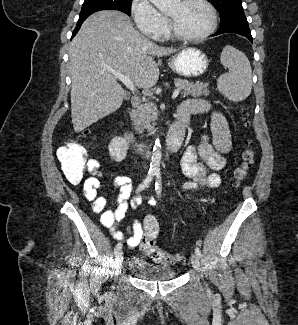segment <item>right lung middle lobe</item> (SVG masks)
Segmentation results:
<instances>
[{
	"label": "right lung middle lobe",
	"mask_w": 298,
	"mask_h": 325,
	"mask_svg": "<svg viewBox=\"0 0 298 325\" xmlns=\"http://www.w3.org/2000/svg\"><path fill=\"white\" fill-rule=\"evenodd\" d=\"M132 0H85L79 15V20H85L89 15L100 10H119L130 16Z\"/></svg>",
	"instance_id": "1"
}]
</instances>
